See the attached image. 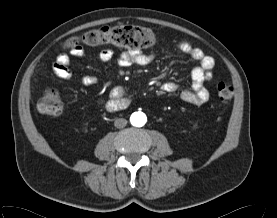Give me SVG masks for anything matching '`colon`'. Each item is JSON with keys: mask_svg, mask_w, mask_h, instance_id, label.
<instances>
[{"mask_svg": "<svg viewBox=\"0 0 277 218\" xmlns=\"http://www.w3.org/2000/svg\"><path fill=\"white\" fill-rule=\"evenodd\" d=\"M156 41L155 33L147 27L120 25L105 26L90 30L81 37H72L66 41V47L73 49L83 43L89 46L112 45L118 48L144 50L155 45ZM216 89L222 102H229L234 95L233 87L227 83H218ZM37 109L47 115L61 114L63 103L58 91L47 89L39 99Z\"/></svg>", "mask_w": 277, "mask_h": 218, "instance_id": "5ec220e1", "label": "colon"}]
</instances>
